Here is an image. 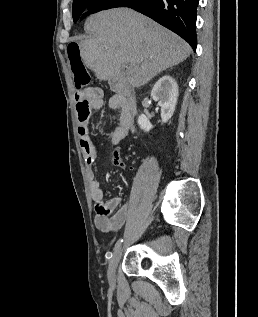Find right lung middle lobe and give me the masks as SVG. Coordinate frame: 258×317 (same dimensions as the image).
I'll list each match as a JSON object with an SVG mask.
<instances>
[{"mask_svg":"<svg viewBox=\"0 0 258 317\" xmlns=\"http://www.w3.org/2000/svg\"><path fill=\"white\" fill-rule=\"evenodd\" d=\"M91 1L93 0H73L72 13L74 22L79 19L87 4Z\"/></svg>","mask_w":258,"mask_h":317,"instance_id":"dd1d6c3e","label":"right lung middle lobe"}]
</instances>
